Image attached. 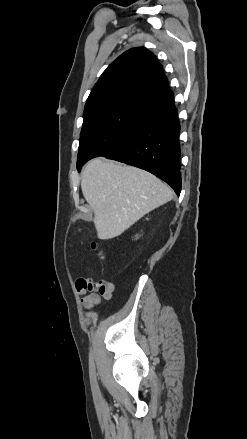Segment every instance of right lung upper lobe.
I'll return each mask as SVG.
<instances>
[{
    "mask_svg": "<svg viewBox=\"0 0 247 439\" xmlns=\"http://www.w3.org/2000/svg\"><path fill=\"white\" fill-rule=\"evenodd\" d=\"M174 100L162 65L146 48H132L114 60L93 87L85 110L112 101L155 112Z\"/></svg>",
    "mask_w": 247,
    "mask_h": 439,
    "instance_id": "1",
    "label": "right lung upper lobe"
}]
</instances>
